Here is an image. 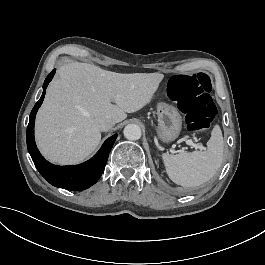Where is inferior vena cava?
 <instances>
[{
	"label": "inferior vena cava",
	"instance_id": "1",
	"mask_svg": "<svg viewBox=\"0 0 265 265\" xmlns=\"http://www.w3.org/2000/svg\"><path fill=\"white\" fill-rule=\"evenodd\" d=\"M114 125H115V121L107 116H103L97 119V126L100 129V131H104V132L108 131Z\"/></svg>",
	"mask_w": 265,
	"mask_h": 265
}]
</instances>
